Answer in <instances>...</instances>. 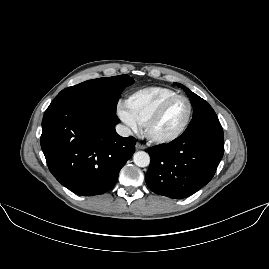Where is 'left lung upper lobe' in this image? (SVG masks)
<instances>
[{
    "mask_svg": "<svg viewBox=\"0 0 269 269\" xmlns=\"http://www.w3.org/2000/svg\"><path fill=\"white\" fill-rule=\"evenodd\" d=\"M175 85L185 91L194 108L192 120L187 129L183 132V136L191 135L205 129L222 128L215 111L209 105V103L195 93L191 92L184 85L179 83H175Z\"/></svg>",
    "mask_w": 269,
    "mask_h": 269,
    "instance_id": "obj_1",
    "label": "left lung upper lobe"
}]
</instances>
